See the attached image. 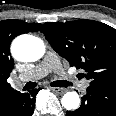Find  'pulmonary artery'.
Listing matches in <instances>:
<instances>
[{
    "label": "pulmonary artery",
    "instance_id": "e3ab8cb5",
    "mask_svg": "<svg viewBox=\"0 0 116 116\" xmlns=\"http://www.w3.org/2000/svg\"><path fill=\"white\" fill-rule=\"evenodd\" d=\"M50 72H55L60 77L66 80H74V76L65 71L57 56L53 52H49L47 53L45 58L38 65H36L30 72L20 74L17 77V81L23 82L28 78H41ZM88 87L89 80L83 79L78 82V88L80 90L86 91Z\"/></svg>",
    "mask_w": 116,
    "mask_h": 116
}]
</instances>
